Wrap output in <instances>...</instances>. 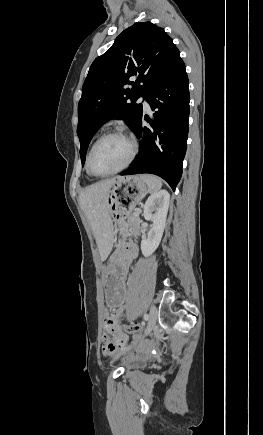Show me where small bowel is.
<instances>
[{
    "instance_id": "small-bowel-1",
    "label": "small bowel",
    "mask_w": 263,
    "mask_h": 435,
    "mask_svg": "<svg viewBox=\"0 0 263 435\" xmlns=\"http://www.w3.org/2000/svg\"><path fill=\"white\" fill-rule=\"evenodd\" d=\"M138 255V247L134 243H129L122 248L117 249L111 258H121L122 261H127L129 273L130 267L133 261ZM128 277V275H127ZM122 278V279H127ZM124 311L123 305H118L116 310H111V313L107 315L104 322V327L109 334H104L103 339H107V344H100L105 355H118L121 350L132 348V343H125L124 339H128V334L123 332V327L119 323L118 319Z\"/></svg>"
}]
</instances>
